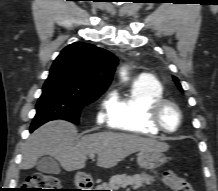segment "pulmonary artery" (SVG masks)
Returning <instances> with one entry per match:
<instances>
[{
    "label": "pulmonary artery",
    "instance_id": "1",
    "mask_svg": "<svg viewBox=\"0 0 218 191\" xmlns=\"http://www.w3.org/2000/svg\"><path fill=\"white\" fill-rule=\"evenodd\" d=\"M139 76H140L141 79H151L153 77L150 72H146V71L140 73Z\"/></svg>",
    "mask_w": 218,
    "mask_h": 191
}]
</instances>
